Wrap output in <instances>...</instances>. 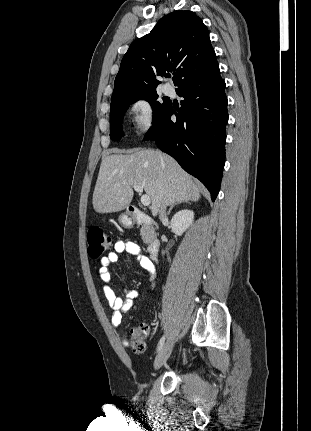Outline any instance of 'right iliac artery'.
I'll return each mask as SVG.
<instances>
[{
    "label": "right iliac artery",
    "instance_id": "obj_1",
    "mask_svg": "<svg viewBox=\"0 0 311 431\" xmlns=\"http://www.w3.org/2000/svg\"><path fill=\"white\" fill-rule=\"evenodd\" d=\"M164 342H165V337L163 336L158 343L157 351H160L162 349Z\"/></svg>",
    "mask_w": 311,
    "mask_h": 431
}]
</instances>
